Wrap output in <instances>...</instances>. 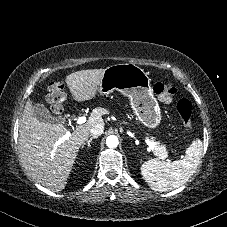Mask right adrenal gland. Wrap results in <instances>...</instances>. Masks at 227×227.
<instances>
[{"mask_svg": "<svg viewBox=\"0 0 227 227\" xmlns=\"http://www.w3.org/2000/svg\"><path fill=\"white\" fill-rule=\"evenodd\" d=\"M96 138H98V137H97V136L91 137V138L87 141V143H86L87 147H90V144H91L92 140H93V139H96ZM82 148H83V146H82Z\"/></svg>", "mask_w": 227, "mask_h": 227, "instance_id": "1", "label": "right adrenal gland"}]
</instances>
